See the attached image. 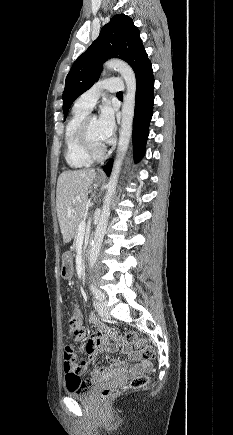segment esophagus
Wrapping results in <instances>:
<instances>
[{
  "label": "esophagus",
  "instance_id": "obj_1",
  "mask_svg": "<svg viewBox=\"0 0 233 435\" xmlns=\"http://www.w3.org/2000/svg\"><path fill=\"white\" fill-rule=\"evenodd\" d=\"M99 174H100L101 176H103V175H104V174H103V172H100Z\"/></svg>",
  "mask_w": 233,
  "mask_h": 435
}]
</instances>
